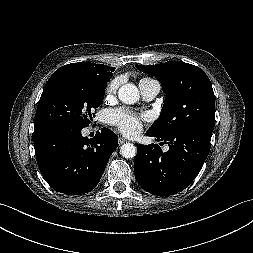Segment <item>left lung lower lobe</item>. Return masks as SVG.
Wrapping results in <instances>:
<instances>
[{
    "instance_id": "1",
    "label": "left lung lower lobe",
    "mask_w": 253,
    "mask_h": 253,
    "mask_svg": "<svg viewBox=\"0 0 253 253\" xmlns=\"http://www.w3.org/2000/svg\"><path fill=\"white\" fill-rule=\"evenodd\" d=\"M213 129L197 127L181 130L168 137L149 131L147 136L168 144L163 152L158 144L137 145L135 178L147 192L168 196L184 190L201 170L210 151Z\"/></svg>"
}]
</instances>
